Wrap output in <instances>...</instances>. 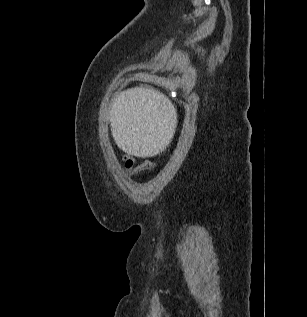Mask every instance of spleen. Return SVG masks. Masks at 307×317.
<instances>
[{
    "mask_svg": "<svg viewBox=\"0 0 307 317\" xmlns=\"http://www.w3.org/2000/svg\"><path fill=\"white\" fill-rule=\"evenodd\" d=\"M172 105L156 86H135L122 94L111 114L112 135L118 146L131 154L150 155V150L174 148L175 122ZM143 121V122H142Z\"/></svg>",
    "mask_w": 307,
    "mask_h": 317,
    "instance_id": "obj_1",
    "label": "spleen"
}]
</instances>
